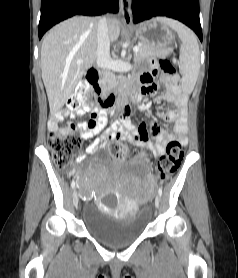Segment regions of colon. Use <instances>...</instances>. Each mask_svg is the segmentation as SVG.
I'll return each instance as SVG.
<instances>
[{"mask_svg":"<svg viewBox=\"0 0 238 278\" xmlns=\"http://www.w3.org/2000/svg\"><path fill=\"white\" fill-rule=\"evenodd\" d=\"M160 66L166 79H174L176 70L169 59H161ZM69 109L81 112H91L94 102L91 98V86L88 81L81 82L75 93L68 99ZM49 147L54 163L59 168H67L73 161L74 153L81 146L80 137L72 130L60 131L53 129L49 132ZM110 153L116 158H124L128 149L121 143H113L109 147ZM184 157L182 145L177 141H171L166 147L157 164V172L161 180L169 178L179 167Z\"/></svg>","mask_w":238,"mask_h":278,"instance_id":"1","label":"colon"}]
</instances>
